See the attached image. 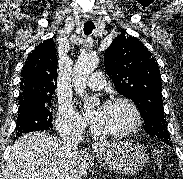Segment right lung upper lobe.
Here are the masks:
<instances>
[{
  "label": "right lung upper lobe",
  "mask_w": 183,
  "mask_h": 179,
  "mask_svg": "<svg viewBox=\"0 0 183 179\" xmlns=\"http://www.w3.org/2000/svg\"><path fill=\"white\" fill-rule=\"evenodd\" d=\"M57 58L53 39L40 43L23 67L19 100L52 96L57 85Z\"/></svg>",
  "instance_id": "obj_1"
}]
</instances>
